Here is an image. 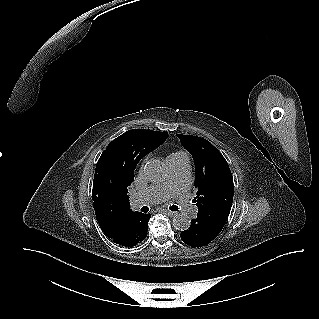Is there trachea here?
I'll return each mask as SVG.
<instances>
[{
  "instance_id": "trachea-1",
  "label": "trachea",
  "mask_w": 319,
  "mask_h": 319,
  "mask_svg": "<svg viewBox=\"0 0 319 319\" xmlns=\"http://www.w3.org/2000/svg\"><path fill=\"white\" fill-rule=\"evenodd\" d=\"M169 209L172 210V211H177L178 207L176 205H173Z\"/></svg>"
}]
</instances>
